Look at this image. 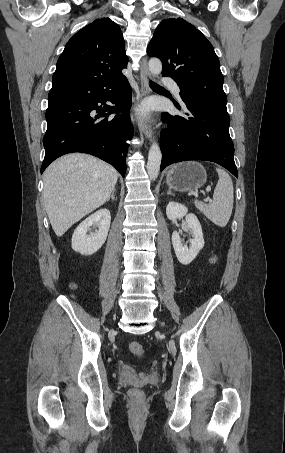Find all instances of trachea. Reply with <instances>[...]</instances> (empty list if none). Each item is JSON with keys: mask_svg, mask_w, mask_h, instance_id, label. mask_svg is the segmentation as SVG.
<instances>
[{"mask_svg": "<svg viewBox=\"0 0 285 453\" xmlns=\"http://www.w3.org/2000/svg\"><path fill=\"white\" fill-rule=\"evenodd\" d=\"M151 87H152V88H159L160 86H159V85H157V84H156V83H154V82H151Z\"/></svg>", "mask_w": 285, "mask_h": 453, "instance_id": "trachea-1", "label": "trachea"}]
</instances>
